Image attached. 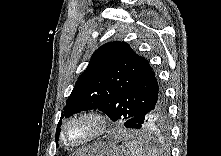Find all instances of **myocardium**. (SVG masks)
I'll use <instances>...</instances> for the list:
<instances>
[{"mask_svg":"<svg viewBox=\"0 0 221 156\" xmlns=\"http://www.w3.org/2000/svg\"><path fill=\"white\" fill-rule=\"evenodd\" d=\"M81 121H87L92 124L91 133L82 140L76 142L68 141L66 139L68 128ZM109 127V117L103 111L98 109H85L73 114L62 123L59 130V141L64 147L69 149L82 148L101 139L108 132Z\"/></svg>","mask_w":221,"mask_h":156,"instance_id":"1","label":"myocardium"}]
</instances>
